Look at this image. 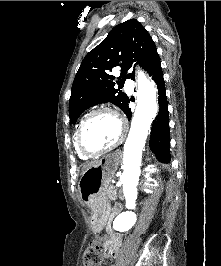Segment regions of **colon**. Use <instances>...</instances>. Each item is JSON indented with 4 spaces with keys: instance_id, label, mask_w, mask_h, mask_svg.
<instances>
[{
    "instance_id": "5ec220e1",
    "label": "colon",
    "mask_w": 221,
    "mask_h": 266,
    "mask_svg": "<svg viewBox=\"0 0 221 266\" xmlns=\"http://www.w3.org/2000/svg\"><path fill=\"white\" fill-rule=\"evenodd\" d=\"M102 240L94 239L86 249L83 256L84 266H99L101 263Z\"/></svg>"
}]
</instances>
